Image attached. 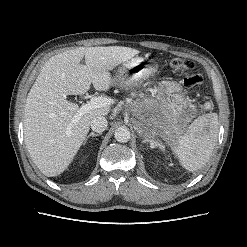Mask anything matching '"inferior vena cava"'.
Here are the masks:
<instances>
[{
	"mask_svg": "<svg viewBox=\"0 0 247 247\" xmlns=\"http://www.w3.org/2000/svg\"><path fill=\"white\" fill-rule=\"evenodd\" d=\"M107 119L104 116H96L91 120V129L97 133H102L107 128Z\"/></svg>",
	"mask_w": 247,
	"mask_h": 247,
	"instance_id": "1",
	"label": "inferior vena cava"
}]
</instances>
